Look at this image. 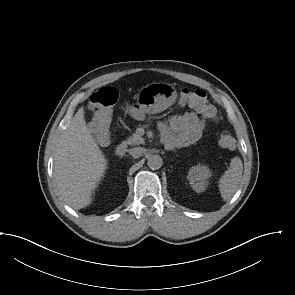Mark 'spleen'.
I'll return each instance as SVG.
<instances>
[{
	"mask_svg": "<svg viewBox=\"0 0 295 295\" xmlns=\"http://www.w3.org/2000/svg\"><path fill=\"white\" fill-rule=\"evenodd\" d=\"M243 173V164L239 157L231 159L230 167L225 171L219 180V190L221 197L227 201L232 198L238 189L239 182Z\"/></svg>",
	"mask_w": 295,
	"mask_h": 295,
	"instance_id": "obj_1",
	"label": "spleen"
}]
</instances>
